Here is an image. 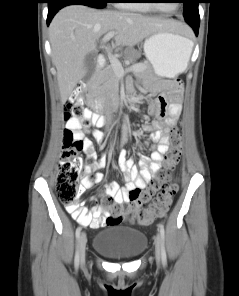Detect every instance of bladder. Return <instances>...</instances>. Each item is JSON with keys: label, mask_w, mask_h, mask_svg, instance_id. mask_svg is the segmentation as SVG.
Instances as JSON below:
<instances>
[{"label": "bladder", "mask_w": 239, "mask_h": 296, "mask_svg": "<svg viewBox=\"0 0 239 296\" xmlns=\"http://www.w3.org/2000/svg\"><path fill=\"white\" fill-rule=\"evenodd\" d=\"M146 235L129 226H114L98 232L93 249L112 261H127L138 257L146 248Z\"/></svg>", "instance_id": "obj_1"}]
</instances>
